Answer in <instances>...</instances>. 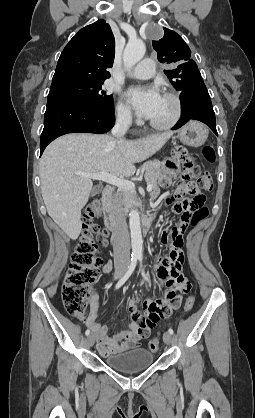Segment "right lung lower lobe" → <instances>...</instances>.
<instances>
[{
  "label": "right lung lower lobe",
  "instance_id": "1",
  "mask_svg": "<svg viewBox=\"0 0 255 418\" xmlns=\"http://www.w3.org/2000/svg\"><path fill=\"white\" fill-rule=\"evenodd\" d=\"M114 123L113 113H103L84 102L73 99L48 100L40 139V156L46 146L61 135L75 132L101 134L109 131Z\"/></svg>",
  "mask_w": 255,
  "mask_h": 418
}]
</instances>
